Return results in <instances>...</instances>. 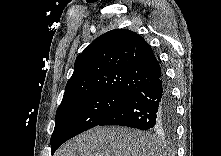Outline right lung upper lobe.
<instances>
[{"label": "right lung upper lobe", "instance_id": "obj_1", "mask_svg": "<svg viewBox=\"0 0 221 156\" xmlns=\"http://www.w3.org/2000/svg\"><path fill=\"white\" fill-rule=\"evenodd\" d=\"M160 75L150 45L135 32L115 29L99 36L77 56L62 102L96 93L130 97Z\"/></svg>", "mask_w": 221, "mask_h": 156}]
</instances>
